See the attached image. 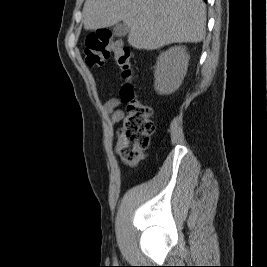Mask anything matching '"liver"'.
<instances>
[{
  "label": "liver",
  "mask_w": 267,
  "mask_h": 267,
  "mask_svg": "<svg viewBox=\"0 0 267 267\" xmlns=\"http://www.w3.org/2000/svg\"><path fill=\"white\" fill-rule=\"evenodd\" d=\"M129 27L128 43L155 50L172 43H198L205 37L206 5L202 0H86L85 30Z\"/></svg>",
  "instance_id": "1"
}]
</instances>
